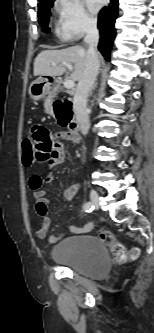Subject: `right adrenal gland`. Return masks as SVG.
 Listing matches in <instances>:
<instances>
[{
    "label": "right adrenal gland",
    "mask_w": 154,
    "mask_h": 333,
    "mask_svg": "<svg viewBox=\"0 0 154 333\" xmlns=\"http://www.w3.org/2000/svg\"><path fill=\"white\" fill-rule=\"evenodd\" d=\"M96 85H97V84L95 83V85L93 86L92 90L95 89ZM91 93H92V92H91Z\"/></svg>",
    "instance_id": "2a0ac1e0"
}]
</instances>
